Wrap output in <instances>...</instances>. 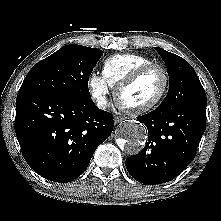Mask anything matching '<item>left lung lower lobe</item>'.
<instances>
[{
  "mask_svg": "<svg viewBox=\"0 0 221 221\" xmlns=\"http://www.w3.org/2000/svg\"><path fill=\"white\" fill-rule=\"evenodd\" d=\"M148 128L145 148L126 159L132 177L144 184H161L174 179L194 159L206 128V102L179 107H157L137 118Z\"/></svg>",
  "mask_w": 221,
  "mask_h": 221,
  "instance_id": "obj_1",
  "label": "left lung lower lobe"
}]
</instances>
